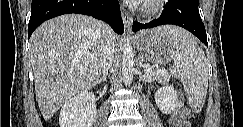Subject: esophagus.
<instances>
[{"label": "esophagus", "instance_id": "esophagus-1", "mask_svg": "<svg viewBox=\"0 0 243 127\" xmlns=\"http://www.w3.org/2000/svg\"><path fill=\"white\" fill-rule=\"evenodd\" d=\"M121 13H122V19H123L124 27L127 31H130L132 23H133V18L130 15V13L126 10L124 5H121Z\"/></svg>", "mask_w": 243, "mask_h": 127}]
</instances>
